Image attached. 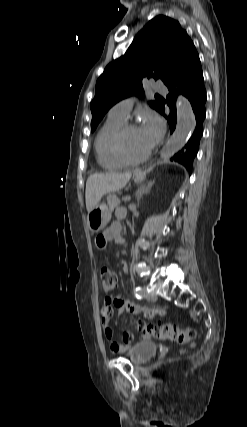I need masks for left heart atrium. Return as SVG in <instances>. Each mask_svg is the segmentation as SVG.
I'll use <instances>...</instances> for the list:
<instances>
[{
    "instance_id": "obj_1",
    "label": "left heart atrium",
    "mask_w": 247,
    "mask_h": 427,
    "mask_svg": "<svg viewBox=\"0 0 247 427\" xmlns=\"http://www.w3.org/2000/svg\"><path fill=\"white\" fill-rule=\"evenodd\" d=\"M139 130L150 147H152L161 139L164 133V123L155 114L148 113L144 116Z\"/></svg>"
}]
</instances>
